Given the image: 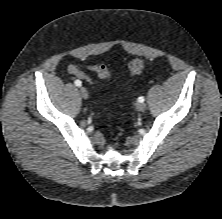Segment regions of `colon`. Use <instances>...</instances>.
Segmentation results:
<instances>
[{"label": "colon", "instance_id": "1", "mask_svg": "<svg viewBox=\"0 0 222 219\" xmlns=\"http://www.w3.org/2000/svg\"><path fill=\"white\" fill-rule=\"evenodd\" d=\"M144 67V61L140 58H135L129 63L130 76H137L141 73ZM92 71L101 79H108L111 77V71L102 64L94 65Z\"/></svg>", "mask_w": 222, "mask_h": 219}]
</instances>
